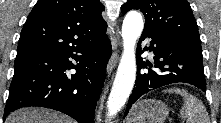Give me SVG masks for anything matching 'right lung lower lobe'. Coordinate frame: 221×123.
I'll return each mask as SVG.
<instances>
[{
	"mask_svg": "<svg viewBox=\"0 0 221 123\" xmlns=\"http://www.w3.org/2000/svg\"><path fill=\"white\" fill-rule=\"evenodd\" d=\"M111 52L104 34L63 51L15 59L4 117L21 107L39 106L61 111L79 123H94ZM71 68L76 73L70 76L65 71Z\"/></svg>",
	"mask_w": 221,
	"mask_h": 123,
	"instance_id": "1",
	"label": "right lung lower lobe"
}]
</instances>
